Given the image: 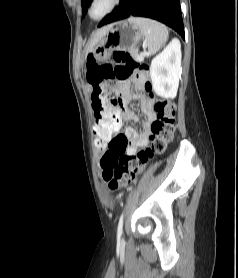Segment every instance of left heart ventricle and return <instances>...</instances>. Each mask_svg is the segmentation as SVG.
<instances>
[{
    "label": "left heart ventricle",
    "instance_id": "b2bd125f",
    "mask_svg": "<svg viewBox=\"0 0 238 278\" xmlns=\"http://www.w3.org/2000/svg\"><path fill=\"white\" fill-rule=\"evenodd\" d=\"M111 0H99L96 5L93 7L92 15L94 17L101 16L109 7Z\"/></svg>",
    "mask_w": 238,
    "mask_h": 278
}]
</instances>
